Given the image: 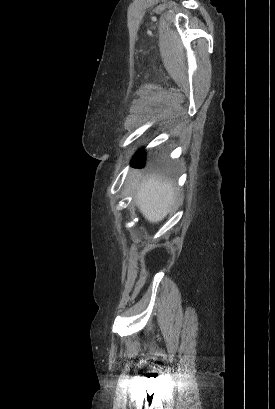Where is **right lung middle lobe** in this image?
I'll use <instances>...</instances> for the list:
<instances>
[{"label":"right lung middle lobe","mask_w":275,"mask_h":409,"mask_svg":"<svg viewBox=\"0 0 275 409\" xmlns=\"http://www.w3.org/2000/svg\"><path fill=\"white\" fill-rule=\"evenodd\" d=\"M145 152L139 151L132 160V166L141 168L147 178H174L177 176L176 164H144Z\"/></svg>","instance_id":"1"}]
</instances>
